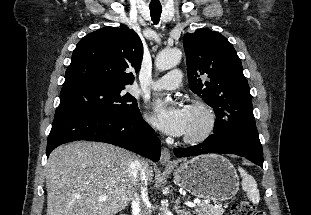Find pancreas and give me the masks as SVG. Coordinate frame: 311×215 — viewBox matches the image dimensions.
<instances>
[{
    "mask_svg": "<svg viewBox=\"0 0 311 215\" xmlns=\"http://www.w3.org/2000/svg\"><path fill=\"white\" fill-rule=\"evenodd\" d=\"M193 212L197 215H223L224 209L222 207H215L211 204L199 202Z\"/></svg>",
    "mask_w": 311,
    "mask_h": 215,
    "instance_id": "pancreas-1",
    "label": "pancreas"
}]
</instances>
